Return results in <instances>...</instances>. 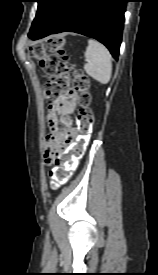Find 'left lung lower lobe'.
<instances>
[{
    "mask_svg": "<svg viewBox=\"0 0 158 275\" xmlns=\"http://www.w3.org/2000/svg\"><path fill=\"white\" fill-rule=\"evenodd\" d=\"M127 0H59L46 22L29 38L37 40L64 31L103 43L118 59Z\"/></svg>",
    "mask_w": 158,
    "mask_h": 275,
    "instance_id": "obj_1",
    "label": "left lung lower lobe"
}]
</instances>
